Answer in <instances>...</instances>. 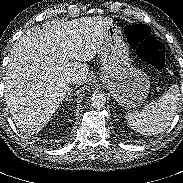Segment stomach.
Listing matches in <instances>:
<instances>
[{"label":"stomach","mask_w":183,"mask_h":183,"mask_svg":"<svg viewBox=\"0 0 183 183\" xmlns=\"http://www.w3.org/2000/svg\"><path fill=\"white\" fill-rule=\"evenodd\" d=\"M99 55L103 70L101 81L114 99L125 108L143 104L149 93L150 81L143 70L131 65L129 47L119 26L109 28Z\"/></svg>","instance_id":"1"}]
</instances>
